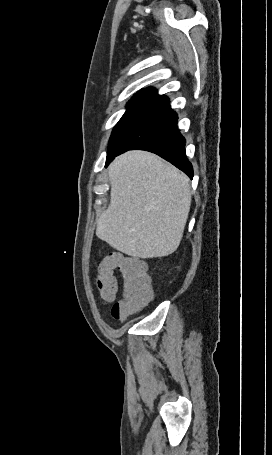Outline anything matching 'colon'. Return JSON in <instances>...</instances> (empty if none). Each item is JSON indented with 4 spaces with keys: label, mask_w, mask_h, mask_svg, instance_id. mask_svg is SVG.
Listing matches in <instances>:
<instances>
[{
    "label": "colon",
    "mask_w": 272,
    "mask_h": 455,
    "mask_svg": "<svg viewBox=\"0 0 272 455\" xmlns=\"http://www.w3.org/2000/svg\"><path fill=\"white\" fill-rule=\"evenodd\" d=\"M116 272L120 281L115 276ZM96 273V286L104 301H112L121 289V299L114 303L111 310L117 320L130 317L153 297L146 265L137 258L118 251L109 252L96 263Z\"/></svg>",
    "instance_id": "1"
}]
</instances>
